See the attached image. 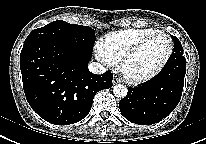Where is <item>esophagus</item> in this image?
<instances>
[{"label":"esophagus","mask_w":206,"mask_h":144,"mask_svg":"<svg viewBox=\"0 0 206 144\" xmlns=\"http://www.w3.org/2000/svg\"><path fill=\"white\" fill-rule=\"evenodd\" d=\"M121 82V80L118 78V77H114L113 78V84L115 85V84H118V83H120Z\"/></svg>","instance_id":"1"}]
</instances>
